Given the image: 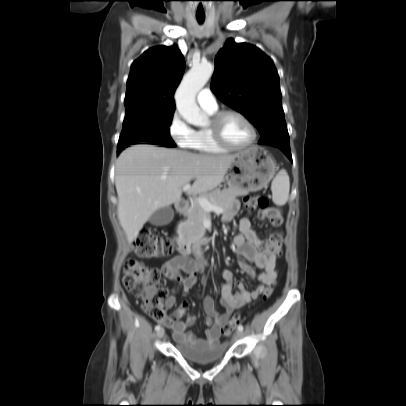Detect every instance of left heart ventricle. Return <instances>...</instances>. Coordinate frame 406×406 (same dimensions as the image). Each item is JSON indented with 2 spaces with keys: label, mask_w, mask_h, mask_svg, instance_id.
I'll return each instance as SVG.
<instances>
[{
  "label": "left heart ventricle",
  "mask_w": 406,
  "mask_h": 406,
  "mask_svg": "<svg viewBox=\"0 0 406 406\" xmlns=\"http://www.w3.org/2000/svg\"><path fill=\"white\" fill-rule=\"evenodd\" d=\"M222 134L226 142L234 146L245 145L251 138L249 127L235 115H227L223 119Z\"/></svg>",
  "instance_id": "obj_1"
}]
</instances>
